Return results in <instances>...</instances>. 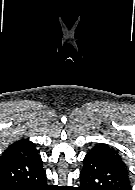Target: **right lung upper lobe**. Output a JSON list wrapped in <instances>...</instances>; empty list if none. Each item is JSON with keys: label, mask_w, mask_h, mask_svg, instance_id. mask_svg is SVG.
Segmentation results:
<instances>
[{"label": "right lung upper lobe", "mask_w": 135, "mask_h": 190, "mask_svg": "<svg viewBox=\"0 0 135 190\" xmlns=\"http://www.w3.org/2000/svg\"><path fill=\"white\" fill-rule=\"evenodd\" d=\"M38 154L34 144L26 139L11 144L3 153L0 160L30 157Z\"/></svg>", "instance_id": "right-lung-upper-lobe-1"}]
</instances>
